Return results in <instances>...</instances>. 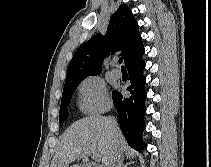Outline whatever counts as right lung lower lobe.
Listing matches in <instances>:
<instances>
[{"instance_id":"right-lung-lower-lobe-1","label":"right lung lower lobe","mask_w":211,"mask_h":167,"mask_svg":"<svg viewBox=\"0 0 211 167\" xmlns=\"http://www.w3.org/2000/svg\"><path fill=\"white\" fill-rule=\"evenodd\" d=\"M145 62L142 57L127 67L130 85L127 90L130 97H124L120 92L113 91L112 97L120 118V128L128 144L140 151L146 147L142 133L146 127L144 115L146 112Z\"/></svg>"}]
</instances>
